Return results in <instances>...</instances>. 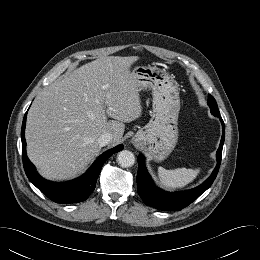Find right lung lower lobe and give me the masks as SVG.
<instances>
[{"label": "right lung lower lobe", "instance_id": "1", "mask_svg": "<svg viewBox=\"0 0 260 260\" xmlns=\"http://www.w3.org/2000/svg\"><path fill=\"white\" fill-rule=\"evenodd\" d=\"M26 115L24 116L21 139L23 166L28 179L48 198L54 202L61 204L78 203L86 200L95 188L97 178L105 161L114 153L123 149L122 145H118L100 155L92 164L89 170L81 177L63 183H56L42 178L36 171L34 165L26 155L25 126Z\"/></svg>", "mask_w": 260, "mask_h": 260}]
</instances>
